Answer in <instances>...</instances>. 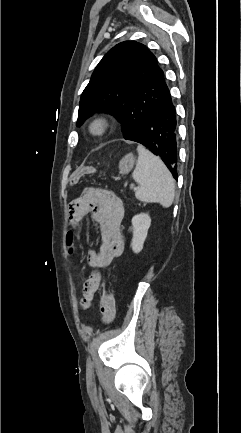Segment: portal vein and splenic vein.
Segmentation results:
<instances>
[{
	"mask_svg": "<svg viewBox=\"0 0 241 433\" xmlns=\"http://www.w3.org/2000/svg\"><path fill=\"white\" fill-rule=\"evenodd\" d=\"M132 188H133L134 190H137V189H138V187H136V186H132Z\"/></svg>",
	"mask_w": 241,
	"mask_h": 433,
	"instance_id": "1",
	"label": "portal vein and splenic vein"
}]
</instances>
